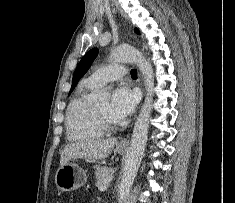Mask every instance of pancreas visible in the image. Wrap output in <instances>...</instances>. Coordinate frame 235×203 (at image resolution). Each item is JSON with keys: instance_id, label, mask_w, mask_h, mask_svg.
<instances>
[{"instance_id": "cf45deb5", "label": "pancreas", "mask_w": 235, "mask_h": 203, "mask_svg": "<svg viewBox=\"0 0 235 203\" xmlns=\"http://www.w3.org/2000/svg\"><path fill=\"white\" fill-rule=\"evenodd\" d=\"M114 172L115 171L113 168H108V167L97 168V170L95 171L96 186L99 188L100 186L110 182L113 178Z\"/></svg>"}]
</instances>
